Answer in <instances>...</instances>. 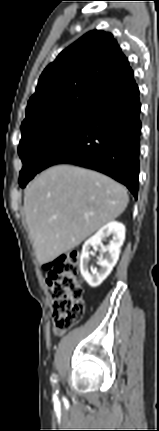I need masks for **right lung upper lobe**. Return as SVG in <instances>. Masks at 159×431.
I'll return each mask as SVG.
<instances>
[{"instance_id":"obj_1","label":"right lung upper lobe","mask_w":159,"mask_h":431,"mask_svg":"<svg viewBox=\"0 0 159 431\" xmlns=\"http://www.w3.org/2000/svg\"><path fill=\"white\" fill-rule=\"evenodd\" d=\"M137 88L133 71L113 35L90 31L45 68L21 127L58 112L90 115Z\"/></svg>"}]
</instances>
